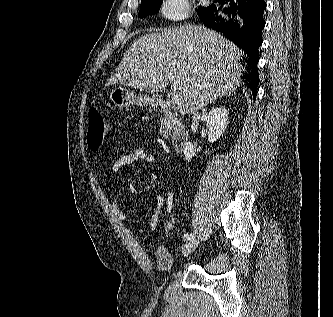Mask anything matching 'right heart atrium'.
<instances>
[{
	"label": "right heart atrium",
	"instance_id": "obj_1",
	"mask_svg": "<svg viewBox=\"0 0 333 317\" xmlns=\"http://www.w3.org/2000/svg\"><path fill=\"white\" fill-rule=\"evenodd\" d=\"M192 11L191 0H160L159 13L170 22H181Z\"/></svg>",
	"mask_w": 333,
	"mask_h": 317
}]
</instances>
